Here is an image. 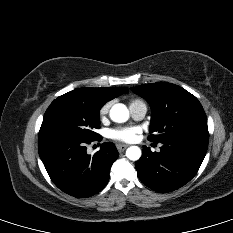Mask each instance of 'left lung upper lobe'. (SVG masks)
<instances>
[{
  "mask_svg": "<svg viewBox=\"0 0 233 233\" xmlns=\"http://www.w3.org/2000/svg\"><path fill=\"white\" fill-rule=\"evenodd\" d=\"M149 103L152 115L149 141L162 143L176 138H208L207 117L198 99L175 84L157 82L132 87Z\"/></svg>",
  "mask_w": 233,
  "mask_h": 233,
  "instance_id": "1",
  "label": "left lung upper lobe"
}]
</instances>
